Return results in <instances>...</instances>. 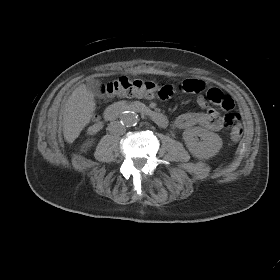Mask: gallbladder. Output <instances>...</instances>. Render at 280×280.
I'll list each match as a JSON object with an SVG mask.
<instances>
[{
	"mask_svg": "<svg viewBox=\"0 0 280 280\" xmlns=\"http://www.w3.org/2000/svg\"><path fill=\"white\" fill-rule=\"evenodd\" d=\"M87 87L96 96H100L101 82L97 79H91L87 82Z\"/></svg>",
	"mask_w": 280,
	"mask_h": 280,
	"instance_id": "1",
	"label": "gallbladder"
}]
</instances>
